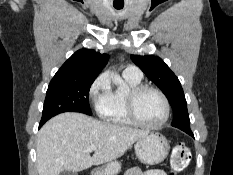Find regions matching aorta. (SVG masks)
<instances>
[{
    "mask_svg": "<svg viewBox=\"0 0 233 175\" xmlns=\"http://www.w3.org/2000/svg\"><path fill=\"white\" fill-rule=\"evenodd\" d=\"M112 79H113V81H115L117 83H122L123 82V80L117 74H112Z\"/></svg>",
    "mask_w": 233,
    "mask_h": 175,
    "instance_id": "762f6f07",
    "label": "aorta"
}]
</instances>
